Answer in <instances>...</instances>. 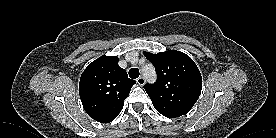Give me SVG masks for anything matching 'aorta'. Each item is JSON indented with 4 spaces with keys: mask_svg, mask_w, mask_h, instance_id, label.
I'll return each mask as SVG.
<instances>
[{
    "mask_svg": "<svg viewBox=\"0 0 276 138\" xmlns=\"http://www.w3.org/2000/svg\"><path fill=\"white\" fill-rule=\"evenodd\" d=\"M144 76L148 81H154L156 78L155 69L152 65H148L143 69Z\"/></svg>",
    "mask_w": 276,
    "mask_h": 138,
    "instance_id": "aorta-1",
    "label": "aorta"
}]
</instances>
